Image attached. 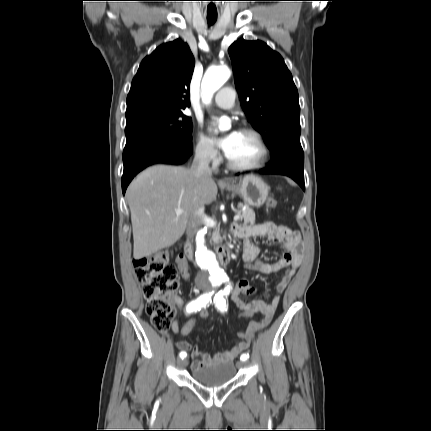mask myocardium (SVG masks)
Wrapping results in <instances>:
<instances>
[{"instance_id": "obj_1", "label": "myocardium", "mask_w": 431, "mask_h": 431, "mask_svg": "<svg viewBox=\"0 0 431 431\" xmlns=\"http://www.w3.org/2000/svg\"><path fill=\"white\" fill-rule=\"evenodd\" d=\"M239 133L251 135L255 139L260 148V157L255 162L250 164H237L232 162L226 155L227 166L230 169L236 171H250L263 167L267 163L270 155L268 145L265 142L263 136L257 130L249 127L241 128Z\"/></svg>"}]
</instances>
